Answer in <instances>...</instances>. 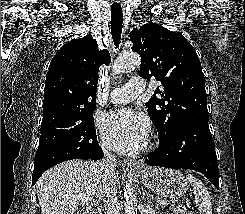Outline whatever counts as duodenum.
<instances>
[{
  "label": "duodenum",
  "instance_id": "1",
  "mask_svg": "<svg viewBox=\"0 0 245 214\" xmlns=\"http://www.w3.org/2000/svg\"><path fill=\"white\" fill-rule=\"evenodd\" d=\"M86 214H100V208L97 204L89 206Z\"/></svg>",
  "mask_w": 245,
  "mask_h": 214
}]
</instances>
